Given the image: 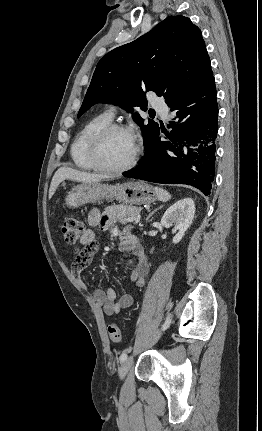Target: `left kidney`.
<instances>
[{"label": "left kidney", "mask_w": 262, "mask_h": 431, "mask_svg": "<svg viewBox=\"0 0 262 431\" xmlns=\"http://www.w3.org/2000/svg\"><path fill=\"white\" fill-rule=\"evenodd\" d=\"M195 214V204L191 198L179 200L170 206L164 213L161 224L169 228L174 226L178 233L173 237V243H178L183 238L186 230L192 224Z\"/></svg>", "instance_id": "obj_1"}]
</instances>
